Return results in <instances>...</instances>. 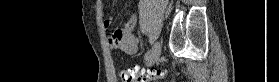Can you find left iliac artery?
Listing matches in <instances>:
<instances>
[{
  "label": "left iliac artery",
  "instance_id": "44dca946",
  "mask_svg": "<svg viewBox=\"0 0 279 82\" xmlns=\"http://www.w3.org/2000/svg\"><path fill=\"white\" fill-rule=\"evenodd\" d=\"M150 57V52L149 50L145 53V59L148 60ZM136 69H139V67H136Z\"/></svg>",
  "mask_w": 279,
  "mask_h": 82
}]
</instances>
